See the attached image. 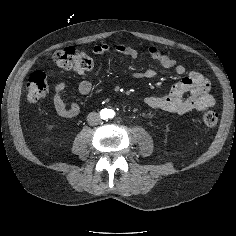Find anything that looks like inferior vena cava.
I'll return each instance as SVG.
<instances>
[{
    "instance_id": "602c4592",
    "label": "inferior vena cava",
    "mask_w": 236,
    "mask_h": 236,
    "mask_svg": "<svg viewBox=\"0 0 236 236\" xmlns=\"http://www.w3.org/2000/svg\"><path fill=\"white\" fill-rule=\"evenodd\" d=\"M87 121L89 125H97L101 122L100 115L96 112H91L87 116Z\"/></svg>"
}]
</instances>
